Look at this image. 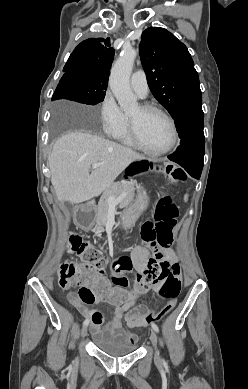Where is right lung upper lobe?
<instances>
[{
  "mask_svg": "<svg viewBox=\"0 0 248 389\" xmlns=\"http://www.w3.org/2000/svg\"><path fill=\"white\" fill-rule=\"evenodd\" d=\"M113 57L109 38H90L74 49L63 71L84 72L91 81L107 85Z\"/></svg>",
  "mask_w": 248,
  "mask_h": 389,
  "instance_id": "right-lung-upper-lobe-1",
  "label": "right lung upper lobe"
}]
</instances>
